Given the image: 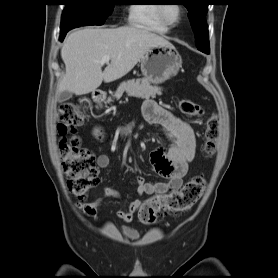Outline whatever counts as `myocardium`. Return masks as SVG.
Instances as JSON below:
<instances>
[{
    "mask_svg": "<svg viewBox=\"0 0 278 278\" xmlns=\"http://www.w3.org/2000/svg\"><path fill=\"white\" fill-rule=\"evenodd\" d=\"M168 5H160L159 6V10H158V13H159V17L161 19V21L167 26V27H175L177 26L181 20L183 19L184 17V14H185V8L183 5H177L178 8H179V11H180V15L178 17V19L176 21H171L168 19L167 15H166V8H167Z\"/></svg>",
    "mask_w": 278,
    "mask_h": 278,
    "instance_id": "f54148a6",
    "label": "myocardium"
}]
</instances>
